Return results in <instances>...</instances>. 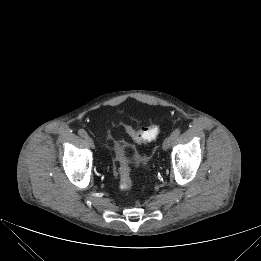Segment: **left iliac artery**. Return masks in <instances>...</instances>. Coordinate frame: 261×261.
Listing matches in <instances>:
<instances>
[{"label": "left iliac artery", "mask_w": 261, "mask_h": 261, "mask_svg": "<svg viewBox=\"0 0 261 261\" xmlns=\"http://www.w3.org/2000/svg\"><path fill=\"white\" fill-rule=\"evenodd\" d=\"M180 132L181 130L179 128L175 129L171 134L172 139L175 140L180 135Z\"/></svg>", "instance_id": "obj_1"}]
</instances>
